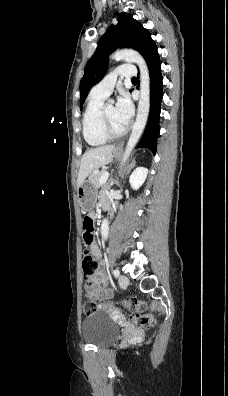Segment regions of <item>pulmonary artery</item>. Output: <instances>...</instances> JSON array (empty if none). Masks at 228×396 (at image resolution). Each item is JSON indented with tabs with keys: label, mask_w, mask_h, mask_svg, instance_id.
Instances as JSON below:
<instances>
[{
	"label": "pulmonary artery",
	"mask_w": 228,
	"mask_h": 396,
	"mask_svg": "<svg viewBox=\"0 0 228 396\" xmlns=\"http://www.w3.org/2000/svg\"><path fill=\"white\" fill-rule=\"evenodd\" d=\"M136 75V69L130 65H121L108 75H106L100 82H98L93 88L92 93L101 96V97H108L112 92L117 78L124 77V78H133Z\"/></svg>",
	"instance_id": "obj_1"
}]
</instances>
